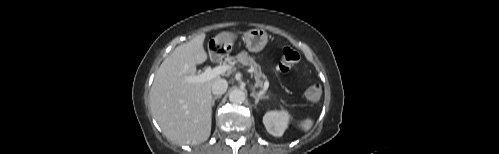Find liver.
<instances>
[{"mask_svg":"<svg viewBox=\"0 0 499 154\" xmlns=\"http://www.w3.org/2000/svg\"><path fill=\"white\" fill-rule=\"evenodd\" d=\"M200 34L179 45L162 62L150 91L151 112L163 133L177 144L196 145L211 134L213 83L217 76L203 83H189L187 76L196 75V66L208 56Z\"/></svg>","mask_w":499,"mask_h":154,"instance_id":"obj_1","label":"liver"}]
</instances>
